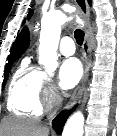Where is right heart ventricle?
<instances>
[{
  "mask_svg": "<svg viewBox=\"0 0 117 136\" xmlns=\"http://www.w3.org/2000/svg\"><path fill=\"white\" fill-rule=\"evenodd\" d=\"M45 74L24 59L8 87L7 107L15 115L39 118L43 114L41 91Z\"/></svg>",
  "mask_w": 117,
  "mask_h": 136,
  "instance_id": "obj_1",
  "label": "right heart ventricle"
}]
</instances>
